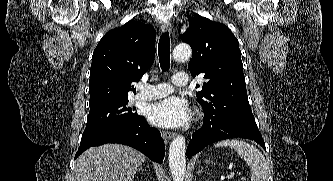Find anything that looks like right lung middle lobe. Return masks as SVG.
Returning a JSON list of instances; mask_svg holds the SVG:
<instances>
[{"label": "right lung middle lobe", "instance_id": "1", "mask_svg": "<svg viewBox=\"0 0 333 181\" xmlns=\"http://www.w3.org/2000/svg\"><path fill=\"white\" fill-rule=\"evenodd\" d=\"M128 99L91 108L84 133L101 130L120 123H126L138 116L127 106Z\"/></svg>", "mask_w": 333, "mask_h": 181}]
</instances>
